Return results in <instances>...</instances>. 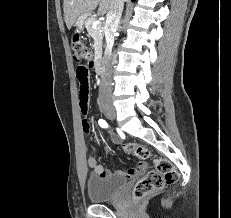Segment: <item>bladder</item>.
<instances>
[{
  "label": "bladder",
  "mask_w": 231,
  "mask_h": 218,
  "mask_svg": "<svg viewBox=\"0 0 231 218\" xmlns=\"http://www.w3.org/2000/svg\"><path fill=\"white\" fill-rule=\"evenodd\" d=\"M126 185L119 176L90 175L87 180V194L91 202L102 203L115 199Z\"/></svg>",
  "instance_id": "31cf9c89"
}]
</instances>
